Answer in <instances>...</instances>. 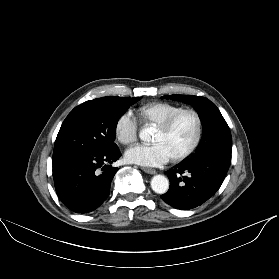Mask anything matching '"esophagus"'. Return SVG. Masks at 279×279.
Wrapping results in <instances>:
<instances>
[{
	"instance_id": "34e87169",
	"label": "esophagus",
	"mask_w": 279,
	"mask_h": 279,
	"mask_svg": "<svg viewBox=\"0 0 279 279\" xmlns=\"http://www.w3.org/2000/svg\"><path fill=\"white\" fill-rule=\"evenodd\" d=\"M145 173H148V174H156V170L155 169H152V168H147V167H142L141 168Z\"/></svg>"
}]
</instances>
